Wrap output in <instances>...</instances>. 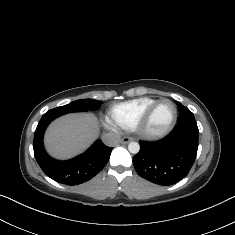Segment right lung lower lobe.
I'll return each instance as SVG.
<instances>
[{
    "mask_svg": "<svg viewBox=\"0 0 235 235\" xmlns=\"http://www.w3.org/2000/svg\"><path fill=\"white\" fill-rule=\"evenodd\" d=\"M60 116L53 109L46 112L35 130L34 155L43 170L50 178L69 185L84 183L97 175L109 160L112 148L102 141H96L85 153L67 161L51 158L43 147V134L48 124Z\"/></svg>",
    "mask_w": 235,
    "mask_h": 235,
    "instance_id": "obj_1",
    "label": "right lung lower lobe"
}]
</instances>
